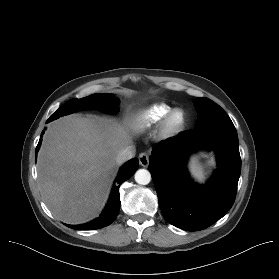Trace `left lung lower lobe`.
Here are the masks:
<instances>
[{
	"label": "left lung lower lobe",
	"instance_id": "1",
	"mask_svg": "<svg viewBox=\"0 0 279 279\" xmlns=\"http://www.w3.org/2000/svg\"><path fill=\"white\" fill-rule=\"evenodd\" d=\"M237 132L233 124H213L179 133L157 143L149 170L163 217L187 231H198L222 218L232 207L241 170ZM201 147L217 153L218 169L206 186L188 176V155Z\"/></svg>",
	"mask_w": 279,
	"mask_h": 279
}]
</instances>
